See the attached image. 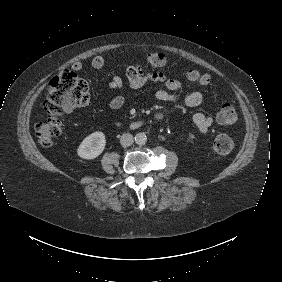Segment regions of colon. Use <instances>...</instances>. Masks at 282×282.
Here are the masks:
<instances>
[{
  "mask_svg": "<svg viewBox=\"0 0 282 282\" xmlns=\"http://www.w3.org/2000/svg\"><path fill=\"white\" fill-rule=\"evenodd\" d=\"M146 62L153 67H162L165 64L164 54L157 51L149 52L146 56ZM187 78L201 85L211 83L209 75L201 74L194 70H190L187 73ZM88 100V84L77 74L67 71L55 77L49 85L45 102V110L49 118L47 121L37 124L35 128L39 141L45 145L52 144L54 139L60 134V115L70 108L84 107ZM217 117L220 123L226 125L235 124L238 120L236 110L229 105H223ZM233 147L234 141L228 134L220 133L215 136L213 149L218 155L225 156L229 154Z\"/></svg>",
  "mask_w": 282,
  "mask_h": 282,
  "instance_id": "colon-1",
  "label": "colon"
}]
</instances>
